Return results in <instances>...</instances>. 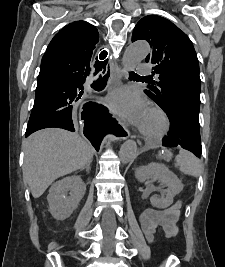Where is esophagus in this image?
Returning a JSON list of instances; mask_svg holds the SVG:
<instances>
[{"label": "esophagus", "instance_id": "obj_1", "mask_svg": "<svg viewBox=\"0 0 225 267\" xmlns=\"http://www.w3.org/2000/svg\"><path fill=\"white\" fill-rule=\"evenodd\" d=\"M111 74L113 76L114 83L116 85L121 83V78L124 74V70L121 67V65L115 63L111 66L110 68ZM119 128H118V137L117 139L119 140H126L129 136L130 133L129 131L122 125L120 121H118Z\"/></svg>", "mask_w": 225, "mask_h": 267}]
</instances>
